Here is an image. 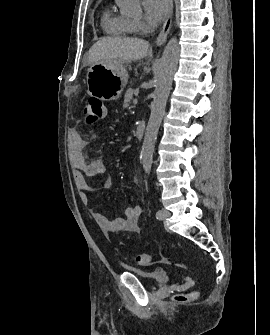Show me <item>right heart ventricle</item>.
<instances>
[{"label":"right heart ventricle","mask_w":270,"mask_h":335,"mask_svg":"<svg viewBox=\"0 0 270 335\" xmlns=\"http://www.w3.org/2000/svg\"><path fill=\"white\" fill-rule=\"evenodd\" d=\"M102 27L110 35H127L133 32V21L123 14L106 9L102 14Z\"/></svg>","instance_id":"obj_1"}]
</instances>
